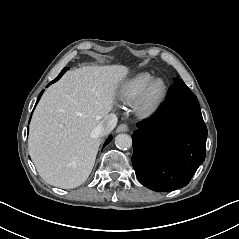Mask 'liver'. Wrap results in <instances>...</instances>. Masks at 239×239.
Instances as JSON below:
<instances>
[{"instance_id": "1", "label": "liver", "mask_w": 239, "mask_h": 239, "mask_svg": "<svg viewBox=\"0 0 239 239\" xmlns=\"http://www.w3.org/2000/svg\"><path fill=\"white\" fill-rule=\"evenodd\" d=\"M122 65L67 71L42 95L30 123L28 150L41 178L72 189L89 177L101 143L98 126L113 108Z\"/></svg>"}]
</instances>
